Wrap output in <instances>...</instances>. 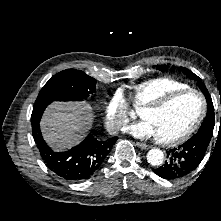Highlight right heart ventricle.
<instances>
[{
  "instance_id": "right-heart-ventricle-1",
  "label": "right heart ventricle",
  "mask_w": 221,
  "mask_h": 221,
  "mask_svg": "<svg viewBox=\"0 0 221 221\" xmlns=\"http://www.w3.org/2000/svg\"><path fill=\"white\" fill-rule=\"evenodd\" d=\"M188 87L187 84L171 77H157L132 86L129 98L135 107L141 108L171 91Z\"/></svg>"
}]
</instances>
